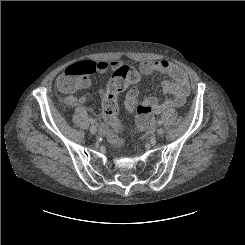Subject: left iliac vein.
<instances>
[{"mask_svg": "<svg viewBox=\"0 0 245 245\" xmlns=\"http://www.w3.org/2000/svg\"><path fill=\"white\" fill-rule=\"evenodd\" d=\"M163 132H164V129H163V128H159V129L157 130V134H158L159 136L162 135Z\"/></svg>", "mask_w": 245, "mask_h": 245, "instance_id": "1", "label": "left iliac vein"}]
</instances>
